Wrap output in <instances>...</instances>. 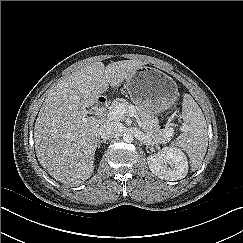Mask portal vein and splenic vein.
<instances>
[{"label": "portal vein and splenic vein", "instance_id": "portal-vein-and-splenic-vein-1", "mask_svg": "<svg viewBox=\"0 0 243 243\" xmlns=\"http://www.w3.org/2000/svg\"><path fill=\"white\" fill-rule=\"evenodd\" d=\"M126 113H128L130 117H135L136 110L134 106H131L128 110H126L124 104H119L111 109L106 116L109 120H117L119 118H122Z\"/></svg>", "mask_w": 243, "mask_h": 243}]
</instances>
